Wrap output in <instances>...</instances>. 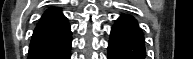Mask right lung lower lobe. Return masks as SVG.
Instances as JSON below:
<instances>
[{
  "instance_id": "98d812e1",
  "label": "right lung lower lobe",
  "mask_w": 193,
  "mask_h": 59,
  "mask_svg": "<svg viewBox=\"0 0 193 59\" xmlns=\"http://www.w3.org/2000/svg\"><path fill=\"white\" fill-rule=\"evenodd\" d=\"M71 32L63 36L29 46L28 59H70Z\"/></svg>"
}]
</instances>
